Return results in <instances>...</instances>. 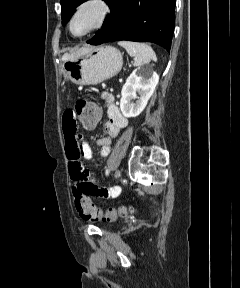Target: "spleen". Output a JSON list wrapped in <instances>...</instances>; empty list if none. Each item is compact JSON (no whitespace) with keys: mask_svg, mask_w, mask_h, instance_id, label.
<instances>
[{"mask_svg":"<svg viewBox=\"0 0 240 288\" xmlns=\"http://www.w3.org/2000/svg\"><path fill=\"white\" fill-rule=\"evenodd\" d=\"M118 45L125 48L128 54L134 57V66H141L150 62L151 60H157L155 52L146 43L119 41Z\"/></svg>","mask_w":240,"mask_h":288,"instance_id":"1","label":"spleen"}]
</instances>
